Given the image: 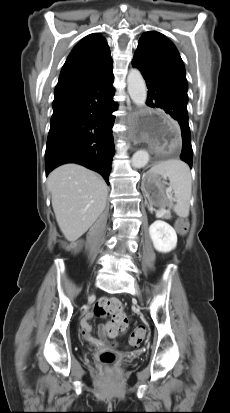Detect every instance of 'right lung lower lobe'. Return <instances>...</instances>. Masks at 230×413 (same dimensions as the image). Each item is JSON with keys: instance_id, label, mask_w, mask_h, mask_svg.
Masks as SVG:
<instances>
[{"instance_id": "1", "label": "right lung lower lobe", "mask_w": 230, "mask_h": 413, "mask_svg": "<svg viewBox=\"0 0 230 413\" xmlns=\"http://www.w3.org/2000/svg\"><path fill=\"white\" fill-rule=\"evenodd\" d=\"M113 73L82 89L55 95L45 152L46 175L64 163L100 173L107 184L114 154Z\"/></svg>"}]
</instances>
